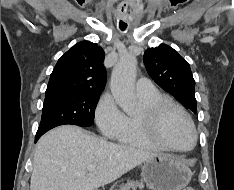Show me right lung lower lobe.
Listing matches in <instances>:
<instances>
[{
	"label": "right lung lower lobe",
	"mask_w": 234,
	"mask_h": 190,
	"mask_svg": "<svg viewBox=\"0 0 234 190\" xmlns=\"http://www.w3.org/2000/svg\"><path fill=\"white\" fill-rule=\"evenodd\" d=\"M41 135H43V134H36L35 142L40 138Z\"/></svg>",
	"instance_id": "98d812e1"
}]
</instances>
